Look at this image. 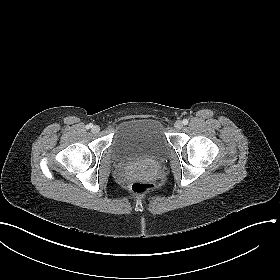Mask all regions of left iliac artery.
<instances>
[{"label": "left iliac artery", "instance_id": "obj_1", "mask_svg": "<svg viewBox=\"0 0 280 280\" xmlns=\"http://www.w3.org/2000/svg\"><path fill=\"white\" fill-rule=\"evenodd\" d=\"M182 123H183L184 125H187V124H188V120H187V119H184V120L182 121Z\"/></svg>", "mask_w": 280, "mask_h": 280}]
</instances>
